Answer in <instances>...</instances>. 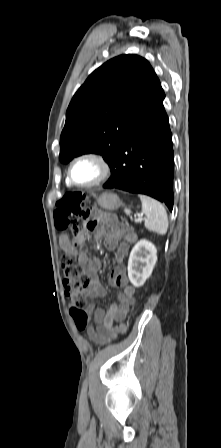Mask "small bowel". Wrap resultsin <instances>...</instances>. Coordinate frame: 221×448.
Instances as JSON below:
<instances>
[{
	"label": "small bowel",
	"instance_id": "obj_1",
	"mask_svg": "<svg viewBox=\"0 0 221 448\" xmlns=\"http://www.w3.org/2000/svg\"><path fill=\"white\" fill-rule=\"evenodd\" d=\"M94 218L96 223L94 241L98 242L104 238L105 246L110 250L116 249V259L121 262L128 252L129 245L135 242L136 234L120 224L113 215L96 212ZM82 242L83 237L80 236L70 237L63 234L59 238L60 247L66 254L85 262V271L90 278L89 297L91 299L104 297L107 295V291L97 278L101 262L98 258H88L84 252L78 250V246ZM110 283L119 288L117 302L111 303L107 312L95 308L93 302L89 303L87 307V311L92 313L94 320V326H87L88 336L93 342L100 345L113 341L126 330L125 325L114 326V322L123 321L135 301V288L127 284L125 270L121 264L114 268Z\"/></svg>",
	"mask_w": 221,
	"mask_h": 448
}]
</instances>
